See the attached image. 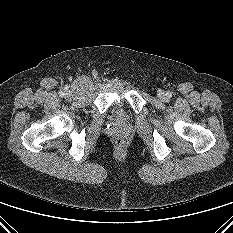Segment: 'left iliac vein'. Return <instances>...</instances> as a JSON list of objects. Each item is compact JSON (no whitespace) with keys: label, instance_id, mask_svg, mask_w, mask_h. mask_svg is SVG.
Here are the masks:
<instances>
[{"label":"left iliac vein","instance_id":"1","mask_svg":"<svg viewBox=\"0 0 233 233\" xmlns=\"http://www.w3.org/2000/svg\"><path fill=\"white\" fill-rule=\"evenodd\" d=\"M158 97H159V99L164 100L166 98L165 92L164 91H159L158 92Z\"/></svg>","mask_w":233,"mask_h":233}]
</instances>
